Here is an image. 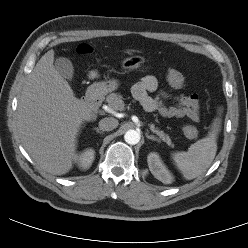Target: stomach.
<instances>
[{"label": "stomach", "mask_w": 248, "mask_h": 248, "mask_svg": "<svg viewBox=\"0 0 248 248\" xmlns=\"http://www.w3.org/2000/svg\"><path fill=\"white\" fill-rule=\"evenodd\" d=\"M144 62H145V59L143 57L132 56V57L124 59L121 63V67L124 70L131 71V70H135V69H138L139 67H141V65ZM118 86H119V83L115 79H110V80H107V81L100 83L101 90H103L105 92L114 91L118 88Z\"/></svg>", "instance_id": "stomach-1"}]
</instances>
